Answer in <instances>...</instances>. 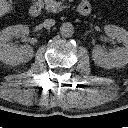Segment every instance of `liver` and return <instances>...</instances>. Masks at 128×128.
<instances>
[{
    "label": "liver",
    "mask_w": 128,
    "mask_h": 128,
    "mask_svg": "<svg viewBox=\"0 0 128 128\" xmlns=\"http://www.w3.org/2000/svg\"><path fill=\"white\" fill-rule=\"evenodd\" d=\"M13 9L10 0H0V17L9 13Z\"/></svg>",
    "instance_id": "6515ba94"
}]
</instances>
